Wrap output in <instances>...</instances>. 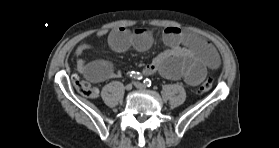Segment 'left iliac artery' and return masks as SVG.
<instances>
[{"mask_svg": "<svg viewBox=\"0 0 279 148\" xmlns=\"http://www.w3.org/2000/svg\"><path fill=\"white\" fill-rule=\"evenodd\" d=\"M144 85L147 86V87H150V86H151V80L148 79V78H146V79L144 80Z\"/></svg>", "mask_w": 279, "mask_h": 148, "instance_id": "44dca946", "label": "left iliac artery"}]
</instances>
